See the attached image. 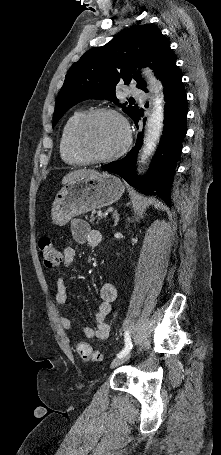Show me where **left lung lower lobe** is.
Returning a JSON list of instances; mask_svg holds the SVG:
<instances>
[{"label":"left lung lower lobe","mask_w":221,"mask_h":455,"mask_svg":"<svg viewBox=\"0 0 221 455\" xmlns=\"http://www.w3.org/2000/svg\"><path fill=\"white\" fill-rule=\"evenodd\" d=\"M164 93V128L157 151L152 159L148 173L139 177L135 172L137 153L142 144L143 132H139L134 148L123 158L113 161L102 168L118 174L130 185H140L147 195H158L171 206V186L175 168L182 150V141L187 132V99L182 73L176 63L160 79ZM143 112L133 118L137 128ZM145 121V119H143Z\"/></svg>","instance_id":"1"}]
</instances>
